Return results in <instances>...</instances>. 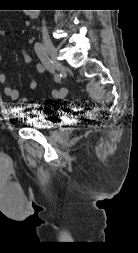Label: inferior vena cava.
<instances>
[{
	"mask_svg": "<svg viewBox=\"0 0 138 253\" xmlns=\"http://www.w3.org/2000/svg\"><path fill=\"white\" fill-rule=\"evenodd\" d=\"M42 35H43L44 39L48 38V31H47V28L45 26V21H43Z\"/></svg>",
	"mask_w": 138,
	"mask_h": 253,
	"instance_id": "inferior-vena-cava-1",
	"label": "inferior vena cava"
}]
</instances>
